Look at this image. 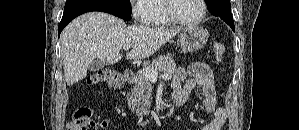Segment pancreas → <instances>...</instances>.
Returning <instances> with one entry per match:
<instances>
[{
	"label": "pancreas",
	"mask_w": 299,
	"mask_h": 130,
	"mask_svg": "<svg viewBox=\"0 0 299 130\" xmlns=\"http://www.w3.org/2000/svg\"><path fill=\"white\" fill-rule=\"evenodd\" d=\"M146 68L153 71H163L172 74L176 70V64L172 55H161ZM152 92L151 82L141 71L135 81L131 91L127 94L128 106L137 116H144L149 113L148 106Z\"/></svg>",
	"instance_id": "pancreas-1"
}]
</instances>
